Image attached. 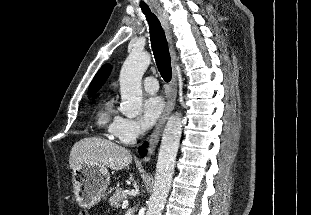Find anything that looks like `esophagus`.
<instances>
[{"label":"esophagus","instance_id":"obj_1","mask_svg":"<svg viewBox=\"0 0 311 215\" xmlns=\"http://www.w3.org/2000/svg\"><path fill=\"white\" fill-rule=\"evenodd\" d=\"M155 9L159 15L160 21L165 29L166 36L169 41V48H170L172 67H173V75H172V80H171V85H170V94L168 97V101H167L164 113L159 119L150 137L149 149H148L149 154H152L158 145L164 125L167 119L169 118L171 112L174 109L175 102H176V95H177V71L175 67L176 62H177V54H176L174 44L172 41V25L169 21L168 14L163 10V8L157 6ZM147 161H148V157H145L142 159V162H147Z\"/></svg>","mask_w":311,"mask_h":215}]
</instances>
